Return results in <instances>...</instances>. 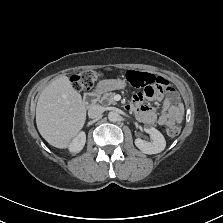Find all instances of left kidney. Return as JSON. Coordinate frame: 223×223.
<instances>
[{
	"label": "left kidney",
	"instance_id": "5707ae66",
	"mask_svg": "<svg viewBox=\"0 0 223 223\" xmlns=\"http://www.w3.org/2000/svg\"><path fill=\"white\" fill-rule=\"evenodd\" d=\"M144 130L151 135L153 144L137 138L135 140L136 146L146 154H155L163 151L165 148V140L162 134L153 127H146Z\"/></svg>",
	"mask_w": 223,
	"mask_h": 223
}]
</instances>
